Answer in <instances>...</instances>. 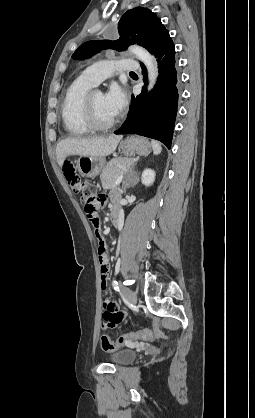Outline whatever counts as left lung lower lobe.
I'll list each match as a JSON object with an SVG mask.
<instances>
[{"label":"left lung lower lobe","instance_id":"1","mask_svg":"<svg viewBox=\"0 0 255 418\" xmlns=\"http://www.w3.org/2000/svg\"><path fill=\"white\" fill-rule=\"evenodd\" d=\"M159 76L150 94L143 87L142 93L132 97L131 109L122 127L115 134H138L164 143L169 149L178 104V72L175 47L170 38L155 54ZM142 73L147 74L144 64ZM146 82L147 79L144 78Z\"/></svg>","mask_w":255,"mask_h":418}]
</instances>
